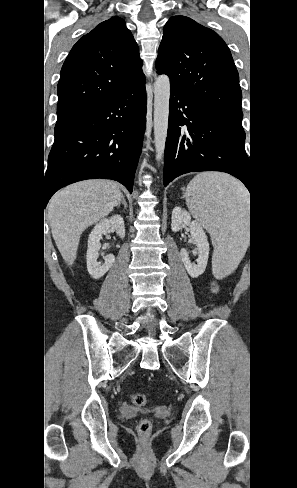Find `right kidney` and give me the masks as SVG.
Here are the masks:
<instances>
[{
    "label": "right kidney",
    "instance_id": "obj_1",
    "mask_svg": "<svg viewBox=\"0 0 297 488\" xmlns=\"http://www.w3.org/2000/svg\"><path fill=\"white\" fill-rule=\"evenodd\" d=\"M111 230L116 231L121 239L125 237L124 220L120 215H113L110 218L101 220L95 225L88 238L87 269L89 274L95 279L102 277L115 262L113 254L106 255L103 264L97 261L98 250L101 247L100 239L102 235H106Z\"/></svg>",
    "mask_w": 297,
    "mask_h": 488
}]
</instances>
